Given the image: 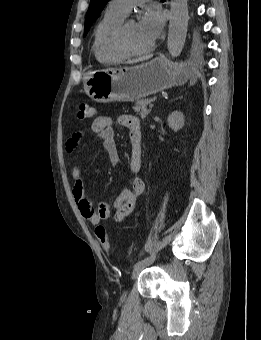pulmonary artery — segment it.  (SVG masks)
Instances as JSON below:
<instances>
[{"label":"pulmonary artery","instance_id":"1","mask_svg":"<svg viewBox=\"0 0 261 340\" xmlns=\"http://www.w3.org/2000/svg\"><path fill=\"white\" fill-rule=\"evenodd\" d=\"M143 1L145 0H111L109 7L126 16L132 7L142 3Z\"/></svg>","mask_w":261,"mask_h":340}]
</instances>
